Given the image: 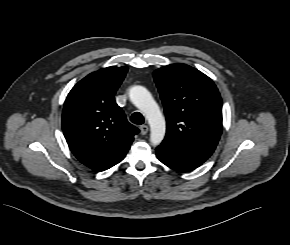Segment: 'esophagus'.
I'll return each mask as SVG.
<instances>
[{
	"instance_id": "obj_1",
	"label": "esophagus",
	"mask_w": 290,
	"mask_h": 245,
	"mask_svg": "<svg viewBox=\"0 0 290 245\" xmlns=\"http://www.w3.org/2000/svg\"><path fill=\"white\" fill-rule=\"evenodd\" d=\"M140 131H141V134L142 135H145V134H147L148 133V131H149V127L147 126V125H141L140 126Z\"/></svg>"
}]
</instances>
